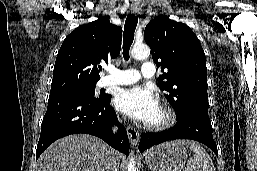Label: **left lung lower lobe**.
I'll use <instances>...</instances> for the list:
<instances>
[{"label": "left lung lower lobe", "instance_id": "left-lung-lower-lobe-1", "mask_svg": "<svg viewBox=\"0 0 257 171\" xmlns=\"http://www.w3.org/2000/svg\"><path fill=\"white\" fill-rule=\"evenodd\" d=\"M173 139L196 140L208 146L216 155L218 154L208 113L200 111H187L177 116V123L169 130L142 133L138 148L140 152H143L154 145Z\"/></svg>", "mask_w": 257, "mask_h": 171}]
</instances>
